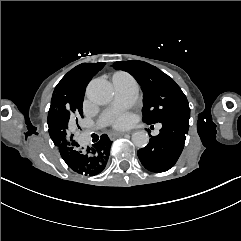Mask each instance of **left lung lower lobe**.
I'll list each match as a JSON object with an SVG mask.
<instances>
[{
  "instance_id": "obj_1",
  "label": "left lung lower lobe",
  "mask_w": 241,
  "mask_h": 241,
  "mask_svg": "<svg viewBox=\"0 0 241 241\" xmlns=\"http://www.w3.org/2000/svg\"><path fill=\"white\" fill-rule=\"evenodd\" d=\"M189 118L190 115L161 122L160 133L157 136H151L148 145L137 152L146 169L164 172L174 166L184 147Z\"/></svg>"
}]
</instances>
